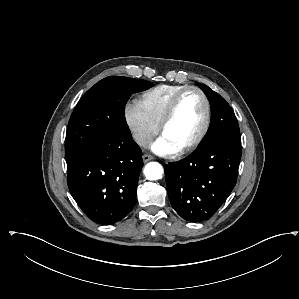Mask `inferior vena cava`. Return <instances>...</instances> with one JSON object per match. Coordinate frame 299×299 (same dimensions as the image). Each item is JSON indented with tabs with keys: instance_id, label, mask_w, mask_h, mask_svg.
Wrapping results in <instances>:
<instances>
[{
	"instance_id": "inferior-vena-cava-1",
	"label": "inferior vena cava",
	"mask_w": 299,
	"mask_h": 299,
	"mask_svg": "<svg viewBox=\"0 0 299 299\" xmlns=\"http://www.w3.org/2000/svg\"><path fill=\"white\" fill-rule=\"evenodd\" d=\"M134 138L141 146H145L151 142V137L144 133H137L135 134Z\"/></svg>"
}]
</instances>
